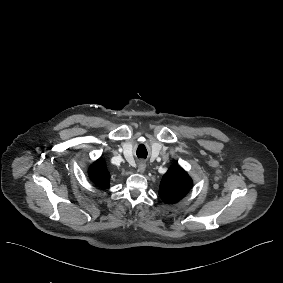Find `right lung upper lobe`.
Listing matches in <instances>:
<instances>
[{
	"mask_svg": "<svg viewBox=\"0 0 283 283\" xmlns=\"http://www.w3.org/2000/svg\"><path fill=\"white\" fill-rule=\"evenodd\" d=\"M89 177L91 181L101 188H108L110 182V173L107 170L105 161L103 158H99L88 169Z\"/></svg>",
	"mask_w": 283,
	"mask_h": 283,
	"instance_id": "cb5924a9",
	"label": "right lung upper lobe"
}]
</instances>
